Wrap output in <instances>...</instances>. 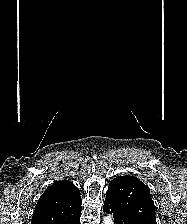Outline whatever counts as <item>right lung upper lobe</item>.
<instances>
[{
    "mask_svg": "<svg viewBox=\"0 0 187 224\" xmlns=\"http://www.w3.org/2000/svg\"><path fill=\"white\" fill-rule=\"evenodd\" d=\"M80 212L79 189L69 181H57L39 198L31 224H67Z\"/></svg>",
    "mask_w": 187,
    "mask_h": 224,
    "instance_id": "cb5924a9",
    "label": "right lung upper lobe"
}]
</instances>
